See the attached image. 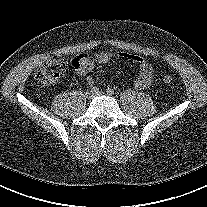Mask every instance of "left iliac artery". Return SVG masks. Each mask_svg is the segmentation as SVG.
<instances>
[{"label": "left iliac artery", "instance_id": "obj_1", "mask_svg": "<svg viewBox=\"0 0 207 207\" xmlns=\"http://www.w3.org/2000/svg\"><path fill=\"white\" fill-rule=\"evenodd\" d=\"M106 92L109 95H112L114 93L113 89H111V88H107Z\"/></svg>", "mask_w": 207, "mask_h": 207}]
</instances>
